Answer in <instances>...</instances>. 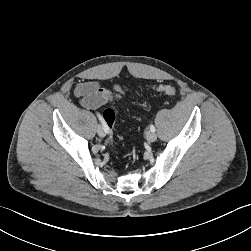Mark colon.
<instances>
[{"label": "colon", "instance_id": "colon-1", "mask_svg": "<svg viewBox=\"0 0 251 251\" xmlns=\"http://www.w3.org/2000/svg\"><path fill=\"white\" fill-rule=\"evenodd\" d=\"M156 90L160 93H163L169 96H173L176 94V89L171 85H160L156 88ZM121 95H122L121 93L117 94L116 98H120ZM103 117L106 123L108 124V126L112 128L115 122V118H116L115 111L112 108H106L103 112Z\"/></svg>", "mask_w": 251, "mask_h": 251}]
</instances>
